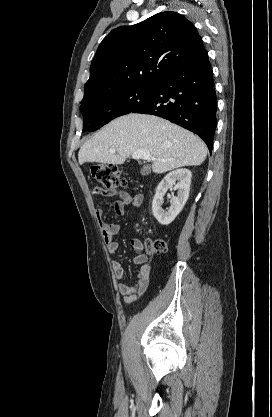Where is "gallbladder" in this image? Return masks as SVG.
Listing matches in <instances>:
<instances>
[{
	"mask_svg": "<svg viewBox=\"0 0 272 417\" xmlns=\"http://www.w3.org/2000/svg\"><path fill=\"white\" fill-rule=\"evenodd\" d=\"M148 172H149L148 170L141 169V173H142V174H147Z\"/></svg>",
	"mask_w": 272,
	"mask_h": 417,
	"instance_id": "1",
	"label": "gallbladder"
}]
</instances>
